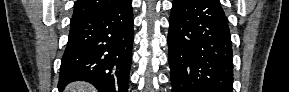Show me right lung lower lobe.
Masks as SVG:
<instances>
[{"label": "right lung lower lobe", "mask_w": 289, "mask_h": 92, "mask_svg": "<svg viewBox=\"0 0 289 92\" xmlns=\"http://www.w3.org/2000/svg\"><path fill=\"white\" fill-rule=\"evenodd\" d=\"M68 38L59 91L70 82L82 80L99 92H128L133 46L131 0L72 17Z\"/></svg>", "instance_id": "right-lung-lower-lobe-1"}]
</instances>
